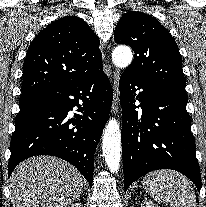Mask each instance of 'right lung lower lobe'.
<instances>
[{
    "mask_svg": "<svg viewBox=\"0 0 206 207\" xmlns=\"http://www.w3.org/2000/svg\"><path fill=\"white\" fill-rule=\"evenodd\" d=\"M35 95L38 101L15 118L8 177L21 161L51 155L74 165L92 186L94 152L113 100L108 77L100 71L75 84ZM73 107L80 113L69 119Z\"/></svg>",
    "mask_w": 206,
    "mask_h": 207,
    "instance_id": "right-lung-lower-lobe-1",
    "label": "right lung lower lobe"
}]
</instances>
